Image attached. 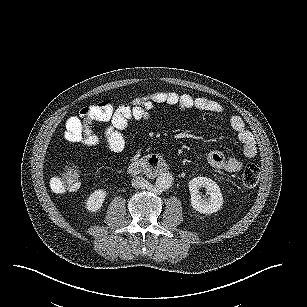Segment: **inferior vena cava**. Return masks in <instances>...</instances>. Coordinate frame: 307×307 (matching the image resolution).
<instances>
[{"mask_svg":"<svg viewBox=\"0 0 307 307\" xmlns=\"http://www.w3.org/2000/svg\"><path fill=\"white\" fill-rule=\"evenodd\" d=\"M131 184L135 189H143L145 186H147L148 181L141 176H136L132 179Z\"/></svg>","mask_w":307,"mask_h":307,"instance_id":"1","label":"inferior vena cava"}]
</instances>
